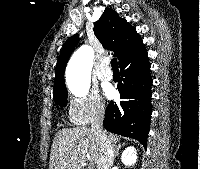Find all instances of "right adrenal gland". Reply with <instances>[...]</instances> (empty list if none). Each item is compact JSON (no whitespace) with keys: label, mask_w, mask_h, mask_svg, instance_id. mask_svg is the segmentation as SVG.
Returning <instances> with one entry per match:
<instances>
[{"label":"right adrenal gland","mask_w":200,"mask_h":169,"mask_svg":"<svg viewBox=\"0 0 200 169\" xmlns=\"http://www.w3.org/2000/svg\"><path fill=\"white\" fill-rule=\"evenodd\" d=\"M124 145H125V143H123V144H118V146H115V158H116L117 156H119V150H120L121 147L124 146Z\"/></svg>","instance_id":"obj_1"}]
</instances>
